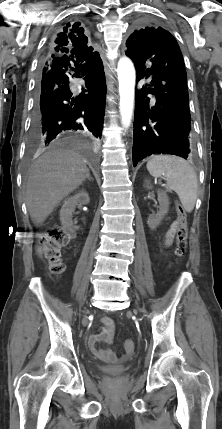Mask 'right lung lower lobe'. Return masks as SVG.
Wrapping results in <instances>:
<instances>
[{
  "label": "right lung lower lobe",
  "mask_w": 222,
  "mask_h": 429,
  "mask_svg": "<svg viewBox=\"0 0 222 429\" xmlns=\"http://www.w3.org/2000/svg\"><path fill=\"white\" fill-rule=\"evenodd\" d=\"M84 78L78 95L69 89V74ZM37 97L32 116L31 137L45 145L64 140L74 132L101 138L106 83L100 56L83 62L72 55H51L42 62L37 80Z\"/></svg>",
  "instance_id": "1"
}]
</instances>
